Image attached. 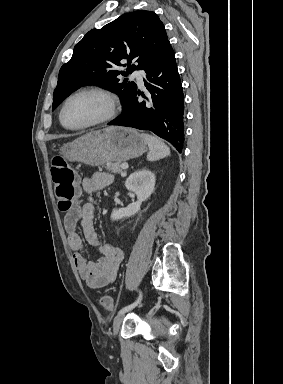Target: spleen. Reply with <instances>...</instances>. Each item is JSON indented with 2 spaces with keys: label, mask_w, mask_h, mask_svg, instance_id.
<instances>
[{
  "label": "spleen",
  "mask_w": 283,
  "mask_h": 384,
  "mask_svg": "<svg viewBox=\"0 0 283 384\" xmlns=\"http://www.w3.org/2000/svg\"><path fill=\"white\" fill-rule=\"evenodd\" d=\"M145 142L148 144L150 150L147 160L148 162H156V160H161V158H166L169 156L170 150L163 140L160 138H155V136H149V134H141Z\"/></svg>",
  "instance_id": "obj_1"
}]
</instances>
